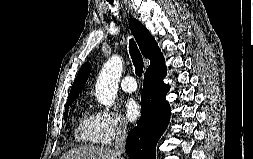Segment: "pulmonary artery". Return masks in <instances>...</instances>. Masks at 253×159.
I'll return each instance as SVG.
<instances>
[{
	"label": "pulmonary artery",
	"mask_w": 253,
	"mask_h": 159,
	"mask_svg": "<svg viewBox=\"0 0 253 159\" xmlns=\"http://www.w3.org/2000/svg\"><path fill=\"white\" fill-rule=\"evenodd\" d=\"M120 86H121V89L124 91V92H127V93H132L136 90L137 88V85L135 83V79L134 77L130 76V75H127L125 76L121 83H120Z\"/></svg>",
	"instance_id": "pulmonary-artery-1"
}]
</instances>
